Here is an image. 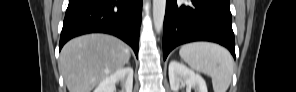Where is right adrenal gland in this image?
<instances>
[{"label": "right adrenal gland", "instance_id": "obj_1", "mask_svg": "<svg viewBox=\"0 0 296 92\" xmlns=\"http://www.w3.org/2000/svg\"><path fill=\"white\" fill-rule=\"evenodd\" d=\"M127 65H128V66H130V63H129V62H127Z\"/></svg>", "mask_w": 296, "mask_h": 92}]
</instances>
